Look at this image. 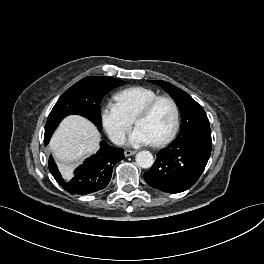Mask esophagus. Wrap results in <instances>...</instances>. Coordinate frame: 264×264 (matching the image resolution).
I'll list each match as a JSON object with an SVG mask.
<instances>
[{
    "label": "esophagus",
    "mask_w": 264,
    "mask_h": 264,
    "mask_svg": "<svg viewBox=\"0 0 264 264\" xmlns=\"http://www.w3.org/2000/svg\"><path fill=\"white\" fill-rule=\"evenodd\" d=\"M124 154L126 157H129V156L135 155L136 151L135 150H125Z\"/></svg>",
    "instance_id": "1"
}]
</instances>
